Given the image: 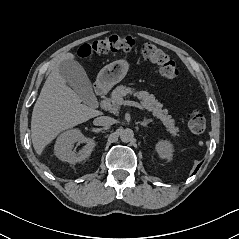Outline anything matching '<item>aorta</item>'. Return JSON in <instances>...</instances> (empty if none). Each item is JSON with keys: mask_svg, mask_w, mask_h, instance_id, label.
<instances>
[{"mask_svg": "<svg viewBox=\"0 0 239 239\" xmlns=\"http://www.w3.org/2000/svg\"><path fill=\"white\" fill-rule=\"evenodd\" d=\"M134 138V132L130 128L121 130L120 139L122 142H130Z\"/></svg>", "mask_w": 239, "mask_h": 239, "instance_id": "1", "label": "aorta"}]
</instances>
